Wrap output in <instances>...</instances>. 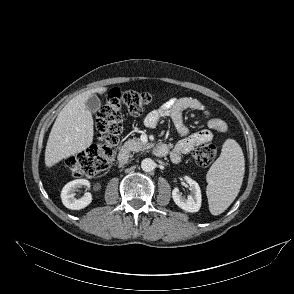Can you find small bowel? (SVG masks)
I'll use <instances>...</instances> for the list:
<instances>
[{
    "label": "small bowel",
    "mask_w": 294,
    "mask_h": 294,
    "mask_svg": "<svg viewBox=\"0 0 294 294\" xmlns=\"http://www.w3.org/2000/svg\"><path fill=\"white\" fill-rule=\"evenodd\" d=\"M186 110L203 112L209 129L190 134L183 121V112ZM165 117L173 121L178 133L183 137L170 153V158L175 164L180 163L183 155L189 153L197 143L210 141L213 138L212 131L225 133L227 130V125L222 119L212 117L207 108L199 100L192 97L171 98L165 101L145 116L144 124L149 128H155L159 121Z\"/></svg>",
    "instance_id": "small-bowel-1"
}]
</instances>
